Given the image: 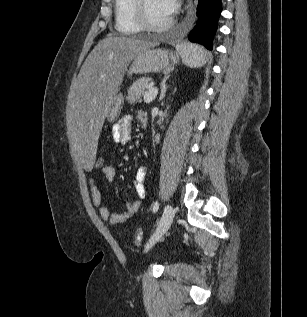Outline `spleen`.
Segmentation results:
<instances>
[{
	"instance_id": "spleen-1",
	"label": "spleen",
	"mask_w": 307,
	"mask_h": 317,
	"mask_svg": "<svg viewBox=\"0 0 307 317\" xmlns=\"http://www.w3.org/2000/svg\"><path fill=\"white\" fill-rule=\"evenodd\" d=\"M178 50L183 63L189 67H199L205 61L204 50L199 46L181 45Z\"/></svg>"
}]
</instances>
